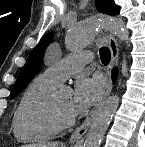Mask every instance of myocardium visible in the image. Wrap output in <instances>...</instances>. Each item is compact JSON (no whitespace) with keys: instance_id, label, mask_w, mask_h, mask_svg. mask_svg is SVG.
<instances>
[{"instance_id":"f54148a6","label":"myocardium","mask_w":145,"mask_h":147,"mask_svg":"<svg viewBox=\"0 0 145 147\" xmlns=\"http://www.w3.org/2000/svg\"><path fill=\"white\" fill-rule=\"evenodd\" d=\"M51 109L56 120L60 123L62 127L69 126L73 123L74 118L71 114L63 112L57 105L55 100L51 102Z\"/></svg>"}]
</instances>
